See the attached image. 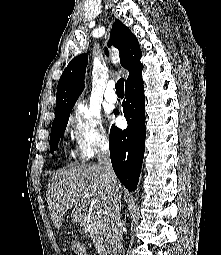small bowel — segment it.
I'll return each instance as SVG.
<instances>
[{
  "instance_id": "c3829d8e",
  "label": "small bowel",
  "mask_w": 221,
  "mask_h": 255,
  "mask_svg": "<svg viewBox=\"0 0 221 255\" xmlns=\"http://www.w3.org/2000/svg\"><path fill=\"white\" fill-rule=\"evenodd\" d=\"M71 249L75 255H89L85 246L78 240L71 241Z\"/></svg>"
}]
</instances>
